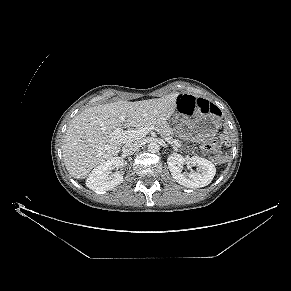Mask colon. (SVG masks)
Masks as SVG:
<instances>
[{
  "mask_svg": "<svg viewBox=\"0 0 291 291\" xmlns=\"http://www.w3.org/2000/svg\"><path fill=\"white\" fill-rule=\"evenodd\" d=\"M177 105L179 110L186 114L192 115L194 113H204V114H217V107L210 103L209 101L198 98V97H189L186 95H182L178 98ZM220 148L219 141L217 139H213L203 145V149L205 152L209 154H213V160L222 164L226 161V158L222 155H215Z\"/></svg>",
  "mask_w": 291,
  "mask_h": 291,
  "instance_id": "colon-1",
  "label": "colon"
}]
</instances>
